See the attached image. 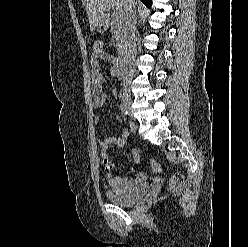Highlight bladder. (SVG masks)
<instances>
[{
    "mask_svg": "<svg viewBox=\"0 0 248 247\" xmlns=\"http://www.w3.org/2000/svg\"><path fill=\"white\" fill-rule=\"evenodd\" d=\"M115 183V179L111 180L110 184L112 190L108 192V198L112 203L120 206H130L135 204L136 202L142 200L145 196H147L151 190V186L149 184H145L139 186L131 193H126L114 188L113 185Z\"/></svg>",
    "mask_w": 248,
    "mask_h": 247,
    "instance_id": "obj_1",
    "label": "bladder"
}]
</instances>
